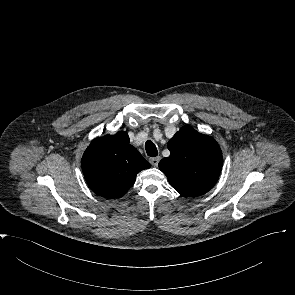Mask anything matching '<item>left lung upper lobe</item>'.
<instances>
[{
  "mask_svg": "<svg viewBox=\"0 0 295 295\" xmlns=\"http://www.w3.org/2000/svg\"><path fill=\"white\" fill-rule=\"evenodd\" d=\"M170 156L158 166L181 195L196 197L208 192L218 180L223 157L218 143L190 126L182 127L169 141Z\"/></svg>",
  "mask_w": 295,
  "mask_h": 295,
  "instance_id": "5c2ea615",
  "label": "left lung upper lobe"
}]
</instances>
